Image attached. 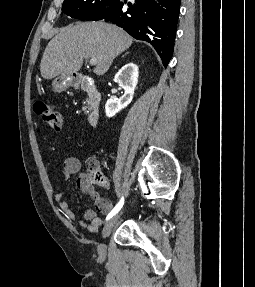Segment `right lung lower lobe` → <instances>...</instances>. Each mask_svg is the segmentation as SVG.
<instances>
[{
  "label": "right lung lower lobe",
  "instance_id": "1",
  "mask_svg": "<svg viewBox=\"0 0 255 287\" xmlns=\"http://www.w3.org/2000/svg\"><path fill=\"white\" fill-rule=\"evenodd\" d=\"M179 10L180 0H124L104 20L122 27L135 39L149 42L167 67L173 54Z\"/></svg>",
  "mask_w": 255,
  "mask_h": 287
}]
</instances>
